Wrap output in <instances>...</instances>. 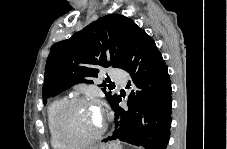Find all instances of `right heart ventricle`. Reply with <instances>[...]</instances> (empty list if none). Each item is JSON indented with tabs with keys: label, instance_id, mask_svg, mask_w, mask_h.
<instances>
[{
	"label": "right heart ventricle",
	"instance_id": "1",
	"mask_svg": "<svg viewBox=\"0 0 227 149\" xmlns=\"http://www.w3.org/2000/svg\"><path fill=\"white\" fill-rule=\"evenodd\" d=\"M63 101H64L63 98L54 99L47 108L48 129H49V134L51 139V145L54 149H66L65 145L62 144L58 139L55 131V126H54L56 111Z\"/></svg>",
	"mask_w": 227,
	"mask_h": 149
}]
</instances>
